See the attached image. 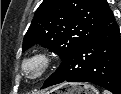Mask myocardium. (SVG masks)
<instances>
[{"instance_id":"obj_1","label":"myocardium","mask_w":121,"mask_h":94,"mask_svg":"<svg viewBox=\"0 0 121 94\" xmlns=\"http://www.w3.org/2000/svg\"><path fill=\"white\" fill-rule=\"evenodd\" d=\"M51 64V56L46 52L38 51L23 59L20 66L29 80L37 81L49 71Z\"/></svg>"}]
</instances>
